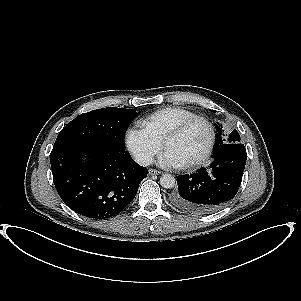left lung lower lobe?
<instances>
[{
	"instance_id": "0a47b994",
	"label": "left lung lower lobe",
	"mask_w": 301,
	"mask_h": 301,
	"mask_svg": "<svg viewBox=\"0 0 301 301\" xmlns=\"http://www.w3.org/2000/svg\"><path fill=\"white\" fill-rule=\"evenodd\" d=\"M210 168L177 177L178 189L171 202L179 209L196 213H212L227 205L238 192L246 164V149L241 143L226 145L214 152Z\"/></svg>"
}]
</instances>
